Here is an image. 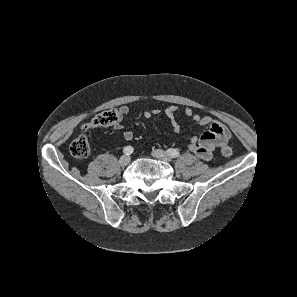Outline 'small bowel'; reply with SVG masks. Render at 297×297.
Instances as JSON below:
<instances>
[{
	"mask_svg": "<svg viewBox=\"0 0 297 297\" xmlns=\"http://www.w3.org/2000/svg\"><path fill=\"white\" fill-rule=\"evenodd\" d=\"M120 119L129 112L127 106H121L119 109ZM177 112V107L174 105L168 106L164 113L170 121L171 127L174 132L178 133L180 131V125L175 118ZM159 113V110H147L144 112V117L146 119L151 118ZM184 113L191 117L193 121L204 126V130L199 138L192 137L189 142V150L195 153L199 158L203 160H210L213 156V152L216 147L223 141H226L230 137L228 129L221 123L214 121L210 116H201L195 114L191 108H186ZM113 127L116 130H121L123 128L120 121L115 123ZM134 134L130 130H125L123 132V138L126 141L132 140Z\"/></svg>",
	"mask_w": 297,
	"mask_h": 297,
	"instance_id": "c3829d8e",
	"label": "small bowel"
}]
</instances>
